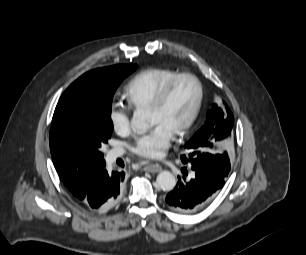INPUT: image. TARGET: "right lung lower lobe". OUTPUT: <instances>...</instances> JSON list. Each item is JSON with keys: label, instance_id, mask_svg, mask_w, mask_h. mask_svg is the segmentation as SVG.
<instances>
[{"label": "right lung lower lobe", "instance_id": "98d812e1", "mask_svg": "<svg viewBox=\"0 0 306 255\" xmlns=\"http://www.w3.org/2000/svg\"><path fill=\"white\" fill-rule=\"evenodd\" d=\"M124 172L108 173L105 163L88 169L69 190L83 207L96 213L111 210L121 199Z\"/></svg>", "mask_w": 306, "mask_h": 255}]
</instances>
